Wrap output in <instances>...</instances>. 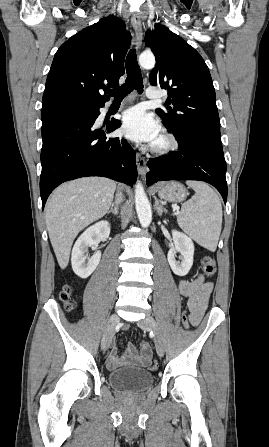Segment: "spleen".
Wrapping results in <instances>:
<instances>
[{
	"label": "spleen",
	"mask_w": 269,
	"mask_h": 447,
	"mask_svg": "<svg viewBox=\"0 0 269 447\" xmlns=\"http://www.w3.org/2000/svg\"><path fill=\"white\" fill-rule=\"evenodd\" d=\"M196 194L182 204L179 227L199 245L215 251L221 233L222 206L216 192L204 182H186Z\"/></svg>",
	"instance_id": "3e777b00"
}]
</instances>
